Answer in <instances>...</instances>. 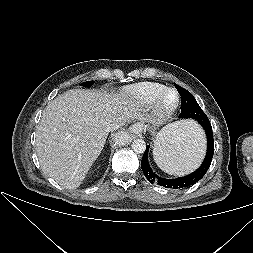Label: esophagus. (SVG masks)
Wrapping results in <instances>:
<instances>
[{
    "instance_id": "34e87169",
    "label": "esophagus",
    "mask_w": 253,
    "mask_h": 253,
    "mask_svg": "<svg viewBox=\"0 0 253 253\" xmlns=\"http://www.w3.org/2000/svg\"><path fill=\"white\" fill-rule=\"evenodd\" d=\"M142 131L141 126L139 125H132L128 130L121 131L120 134H138Z\"/></svg>"
}]
</instances>
